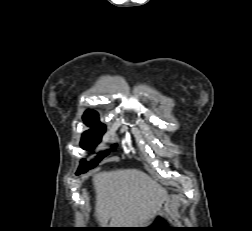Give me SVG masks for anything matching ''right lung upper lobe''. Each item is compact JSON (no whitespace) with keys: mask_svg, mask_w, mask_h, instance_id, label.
I'll list each match as a JSON object with an SVG mask.
<instances>
[{"mask_svg":"<svg viewBox=\"0 0 252 231\" xmlns=\"http://www.w3.org/2000/svg\"><path fill=\"white\" fill-rule=\"evenodd\" d=\"M91 115H98V114L93 110H87L84 114V116H91Z\"/></svg>","mask_w":252,"mask_h":231,"instance_id":"1","label":"right lung upper lobe"}]
</instances>
